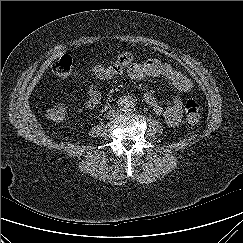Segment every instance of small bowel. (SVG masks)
<instances>
[{
	"label": "small bowel",
	"mask_w": 243,
	"mask_h": 243,
	"mask_svg": "<svg viewBox=\"0 0 243 243\" xmlns=\"http://www.w3.org/2000/svg\"><path fill=\"white\" fill-rule=\"evenodd\" d=\"M128 76L133 80H142L146 77H164L177 91L187 93L193 88L190 78L174 69L171 65L158 59H149L143 62H135L128 71ZM145 102L150 105L154 112L163 116L169 127L178 126L183 118L182 101L175 98L171 105L163 109L153 92L144 93ZM101 101V92L96 84H92L87 91L86 108H95Z\"/></svg>",
	"instance_id": "small-bowel-1"
}]
</instances>
